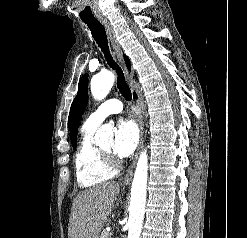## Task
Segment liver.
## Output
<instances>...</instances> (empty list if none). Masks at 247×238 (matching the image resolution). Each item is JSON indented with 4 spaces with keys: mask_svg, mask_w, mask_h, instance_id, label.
<instances>
[{
    "mask_svg": "<svg viewBox=\"0 0 247 238\" xmlns=\"http://www.w3.org/2000/svg\"><path fill=\"white\" fill-rule=\"evenodd\" d=\"M119 190V184L111 182L80 192L72 204L68 238H99Z\"/></svg>",
    "mask_w": 247,
    "mask_h": 238,
    "instance_id": "6515ba94",
    "label": "liver"
}]
</instances>
